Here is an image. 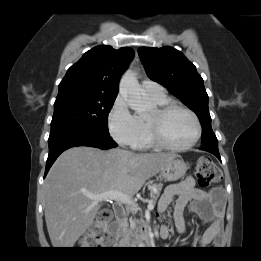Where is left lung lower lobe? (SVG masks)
<instances>
[{
    "instance_id": "left-lung-lower-lobe-1",
    "label": "left lung lower lobe",
    "mask_w": 261,
    "mask_h": 261,
    "mask_svg": "<svg viewBox=\"0 0 261 261\" xmlns=\"http://www.w3.org/2000/svg\"><path fill=\"white\" fill-rule=\"evenodd\" d=\"M199 149L214 154L221 161L218 144H203Z\"/></svg>"
}]
</instances>
